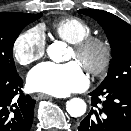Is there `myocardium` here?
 <instances>
[{
  "mask_svg": "<svg viewBox=\"0 0 131 131\" xmlns=\"http://www.w3.org/2000/svg\"><path fill=\"white\" fill-rule=\"evenodd\" d=\"M73 51L81 65L93 76H102L111 66L113 49L109 41L99 36H88L76 44ZM97 52L99 60L96 63L88 62V57Z\"/></svg>",
  "mask_w": 131,
  "mask_h": 131,
  "instance_id": "f54148a6",
  "label": "myocardium"
}]
</instances>
